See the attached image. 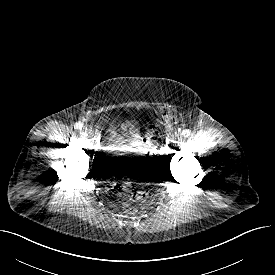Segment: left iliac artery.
Instances as JSON below:
<instances>
[{
    "label": "left iliac artery",
    "mask_w": 275,
    "mask_h": 275,
    "mask_svg": "<svg viewBox=\"0 0 275 275\" xmlns=\"http://www.w3.org/2000/svg\"><path fill=\"white\" fill-rule=\"evenodd\" d=\"M182 135H183L184 137H188V136L191 135V131L188 130V129H185V130L182 131Z\"/></svg>",
    "instance_id": "1"
}]
</instances>
